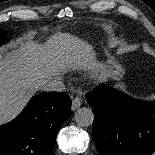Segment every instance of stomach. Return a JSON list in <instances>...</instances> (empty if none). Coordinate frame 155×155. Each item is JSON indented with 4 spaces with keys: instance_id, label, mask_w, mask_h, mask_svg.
I'll list each match as a JSON object with an SVG mask.
<instances>
[{
    "instance_id": "stomach-1",
    "label": "stomach",
    "mask_w": 155,
    "mask_h": 155,
    "mask_svg": "<svg viewBox=\"0 0 155 155\" xmlns=\"http://www.w3.org/2000/svg\"><path fill=\"white\" fill-rule=\"evenodd\" d=\"M103 69L107 74V78L113 82L114 86L125 91L127 86L122 79L125 75V69L119 60L109 58L103 65Z\"/></svg>"
}]
</instances>
